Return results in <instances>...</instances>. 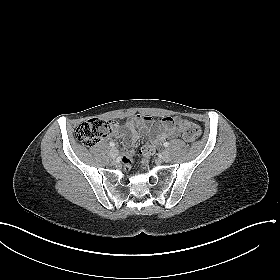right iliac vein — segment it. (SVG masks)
<instances>
[{
    "label": "right iliac vein",
    "mask_w": 280,
    "mask_h": 280,
    "mask_svg": "<svg viewBox=\"0 0 280 280\" xmlns=\"http://www.w3.org/2000/svg\"><path fill=\"white\" fill-rule=\"evenodd\" d=\"M110 155L115 160L119 155L118 149L117 148H112L111 151H110Z\"/></svg>",
    "instance_id": "obj_1"
}]
</instances>
